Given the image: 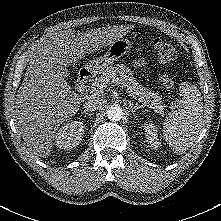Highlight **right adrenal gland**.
<instances>
[{
  "label": "right adrenal gland",
  "instance_id": "right-adrenal-gland-1",
  "mask_svg": "<svg viewBox=\"0 0 221 221\" xmlns=\"http://www.w3.org/2000/svg\"><path fill=\"white\" fill-rule=\"evenodd\" d=\"M82 113L85 114V115H87V116H91V114L88 113V112H86V111H84V112H82Z\"/></svg>",
  "mask_w": 221,
  "mask_h": 221
}]
</instances>
